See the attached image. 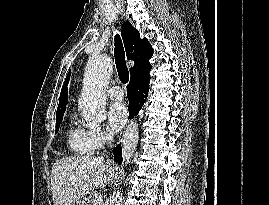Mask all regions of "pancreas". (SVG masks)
Here are the masks:
<instances>
[{"label":"pancreas","mask_w":269,"mask_h":205,"mask_svg":"<svg viewBox=\"0 0 269 205\" xmlns=\"http://www.w3.org/2000/svg\"><path fill=\"white\" fill-rule=\"evenodd\" d=\"M96 197H94L93 192L89 195L88 198L84 199L85 205H94Z\"/></svg>","instance_id":"cf45deb5"}]
</instances>
